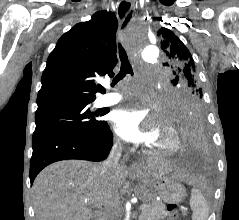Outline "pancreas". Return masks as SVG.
I'll list each match as a JSON object with an SVG mask.
<instances>
[{
	"label": "pancreas",
	"mask_w": 239,
	"mask_h": 220,
	"mask_svg": "<svg viewBox=\"0 0 239 220\" xmlns=\"http://www.w3.org/2000/svg\"><path fill=\"white\" fill-rule=\"evenodd\" d=\"M167 215L168 212L162 201H152L142 210L139 220H159Z\"/></svg>",
	"instance_id": "obj_1"
}]
</instances>
